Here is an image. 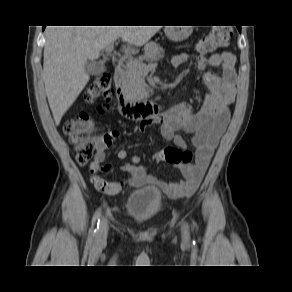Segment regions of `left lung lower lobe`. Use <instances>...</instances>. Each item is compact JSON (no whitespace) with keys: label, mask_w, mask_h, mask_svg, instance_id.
<instances>
[{"label":"left lung lower lobe","mask_w":292,"mask_h":292,"mask_svg":"<svg viewBox=\"0 0 292 292\" xmlns=\"http://www.w3.org/2000/svg\"><path fill=\"white\" fill-rule=\"evenodd\" d=\"M238 30L241 32V27H238Z\"/></svg>","instance_id":"left-lung-lower-lobe-1"}]
</instances>
